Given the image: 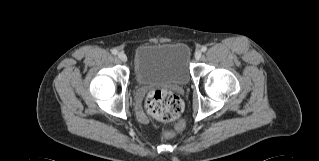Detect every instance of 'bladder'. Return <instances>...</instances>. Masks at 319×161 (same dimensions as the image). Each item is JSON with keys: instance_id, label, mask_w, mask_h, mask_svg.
<instances>
[{"instance_id": "1", "label": "bladder", "mask_w": 319, "mask_h": 161, "mask_svg": "<svg viewBox=\"0 0 319 161\" xmlns=\"http://www.w3.org/2000/svg\"><path fill=\"white\" fill-rule=\"evenodd\" d=\"M134 70L141 85L185 86L191 79V52L183 43H143L135 51Z\"/></svg>"}]
</instances>
